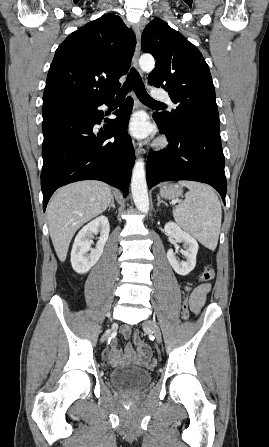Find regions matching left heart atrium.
<instances>
[{"instance_id": "1", "label": "left heart atrium", "mask_w": 269, "mask_h": 447, "mask_svg": "<svg viewBox=\"0 0 269 447\" xmlns=\"http://www.w3.org/2000/svg\"><path fill=\"white\" fill-rule=\"evenodd\" d=\"M128 131L137 138H143L153 133V128L148 123L145 115L136 112L130 116L127 122Z\"/></svg>"}]
</instances>
